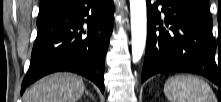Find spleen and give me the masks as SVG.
Listing matches in <instances>:
<instances>
[{
  "mask_svg": "<svg viewBox=\"0 0 221 102\" xmlns=\"http://www.w3.org/2000/svg\"><path fill=\"white\" fill-rule=\"evenodd\" d=\"M164 93L170 102H212L214 98L210 86L204 80L186 74L169 78Z\"/></svg>",
  "mask_w": 221,
  "mask_h": 102,
  "instance_id": "obj_1",
  "label": "spleen"
}]
</instances>
